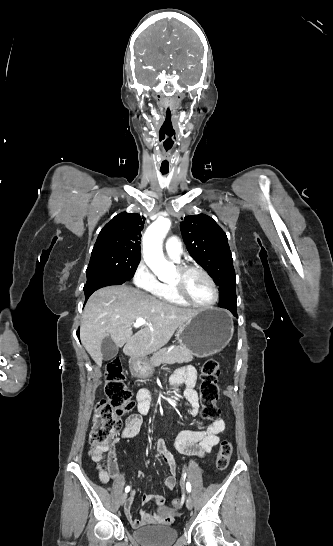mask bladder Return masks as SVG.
<instances>
[{"label": "bladder", "mask_w": 333, "mask_h": 546, "mask_svg": "<svg viewBox=\"0 0 333 546\" xmlns=\"http://www.w3.org/2000/svg\"><path fill=\"white\" fill-rule=\"evenodd\" d=\"M133 536L142 546H170L176 541L178 531L172 526L146 525L133 530Z\"/></svg>", "instance_id": "bladder-1"}]
</instances>
